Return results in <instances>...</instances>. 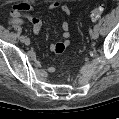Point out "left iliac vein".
<instances>
[{"instance_id": "1", "label": "left iliac vein", "mask_w": 119, "mask_h": 119, "mask_svg": "<svg viewBox=\"0 0 119 119\" xmlns=\"http://www.w3.org/2000/svg\"><path fill=\"white\" fill-rule=\"evenodd\" d=\"M98 36H99L98 30H93V31L91 32V38H92V39H97Z\"/></svg>"}]
</instances>
